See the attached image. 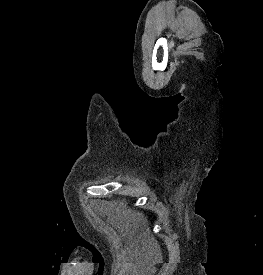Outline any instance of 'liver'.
<instances>
[{
	"label": "liver",
	"instance_id": "obj_1",
	"mask_svg": "<svg viewBox=\"0 0 263 275\" xmlns=\"http://www.w3.org/2000/svg\"><path fill=\"white\" fill-rule=\"evenodd\" d=\"M108 208L112 211V220L122 228L137 225L143 218V215L128 209L123 202H110L107 203Z\"/></svg>",
	"mask_w": 263,
	"mask_h": 275
}]
</instances>
